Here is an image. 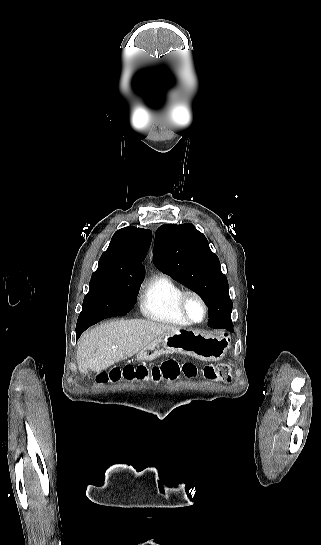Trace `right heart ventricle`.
<instances>
[{"label":"right heart ventricle","mask_w":321,"mask_h":545,"mask_svg":"<svg viewBox=\"0 0 321 545\" xmlns=\"http://www.w3.org/2000/svg\"><path fill=\"white\" fill-rule=\"evenodd\" d=\"M184 289L169 275L156 272L151 275L140 300V310L146 319L166 326L185 328L178 314L177 299Z\"/></svg>","instance_id":"1"}]
</instances>
